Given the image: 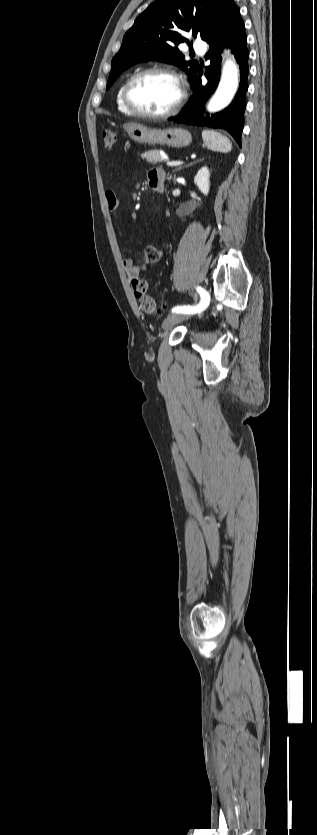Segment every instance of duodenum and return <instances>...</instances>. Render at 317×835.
<instances>
[{
  "instance_id": "duodenum-1",
  "label": "duodenum",
  "mask_w": 317,
  "mask_h": 835,
  "mask_svg": "<svg viewBox=\"0 0 317 835\" xmlns=\"http://www.w3.org/2000/svg\"><path fill=\"white\" fill-rule=\"evenodd\" d=\"M151 187L157 192H162L163 190V188L156 182L151 183Z\"/></svg>"
}]
</instances>
